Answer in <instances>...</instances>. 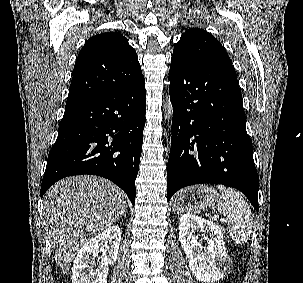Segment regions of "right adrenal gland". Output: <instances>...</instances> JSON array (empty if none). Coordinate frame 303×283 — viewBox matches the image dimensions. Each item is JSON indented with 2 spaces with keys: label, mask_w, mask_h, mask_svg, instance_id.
I'll return each mask as SVG.
<instances>
[{
  "label": "right adrenal gland",
  "mask_w": 303,
  "mask_h": 283,
  "mask_svg": "<svg viewBox=\"0 0 303 283\" xmlns=\"http://www.w3.org/2000/svg\"><path fill=\"white\" fill-rule=\"evenodd\" d=\"M122 216H123L124 218H126V211H125V209H124L123 212H122Z\"/></svg>",
  "instance_id": "right-adrenal-gland-1"
}]
</instances>
